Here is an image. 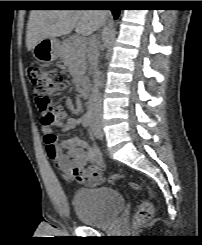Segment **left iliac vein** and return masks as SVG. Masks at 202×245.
Returning a JSON list of instances; mask_svg holds the SVG:
<instances>
[{"label": "left iliac vein", "mask_w": 202, "mask_h": 245, "mask_svg": "<svg viewBox=\"0 0 202 245\" xmlns=\"http://www.w3.org/2000/svg\"><path fill=\"white\" fill-rule=\"evenodd\" d=\"M90 128H91V134L95 138L102 139L103 131H102V125L100 121H92L90 124Z\"/></svg>", "instance_id": "4c4485c4"}]
</instances>
